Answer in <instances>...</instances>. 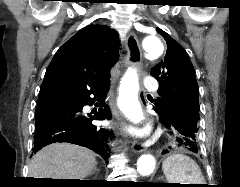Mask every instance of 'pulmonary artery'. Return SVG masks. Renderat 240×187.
<instances>
[{"instance_id": "obj_1", "label": "pulmonary artery", "mask_w": 240, "mask_h": 187, "mask_svg": "<svg viewBox=\"0 0 240 187\" xmlns=\"http://www.w3.org/2000/svg\"><path fill=\"white\" fill-rule=\"evenodd\" d=\"M144 85L146 89L150 91H156L158 89L157 81L150 76L145 78Z\"/></svg>"}]
</instances>
